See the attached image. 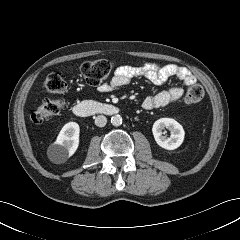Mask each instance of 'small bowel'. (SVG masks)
<instances>
[{
  "label": "small bowel",
  "mask_w": 240,
  "mask_h": 240,
  "mask_svg": "<svg viewBox=\"0 0 240 240\" xmlns=\"http://www.w3.org/2000/svg\"><path fill=\"white\" fill-rule=\"evenodd\" d=\"M135 77L145 78L155 85L164 84L171 77L178 78L186 86H192L197 82V78L183 66L148 62L140 66H119L113 77L108 82L101 84L98 90L104 93L111 92L116 88L127 85ZM182 95L183 89L180 86H171L156 95L146 97L142 102V108L152 110L164 107L178 101Z\"/></svg>",
  "instance_id": "c3829d8e"
}]
</instances>
